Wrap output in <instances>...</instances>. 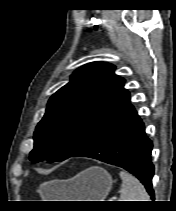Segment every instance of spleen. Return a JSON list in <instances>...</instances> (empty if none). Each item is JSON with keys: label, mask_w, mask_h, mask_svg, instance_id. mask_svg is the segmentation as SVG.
I'll return each instance as SVG.
<instances>
[{"label": "spleen", "mask_w": 176, "mask_h": 211, "mask_svg": "<svg viewBox=\"0 0 176 211\" xmlns=\"http://www.w3.org/2000/svg\"><path fill=\"white\" fill-rule=\"evenodd\" d=\"M119 175L122 184L118 201H150L148 193L137 178L124 170Z\"/></svg>", "instance_id": "obj_1"}]
</instances>
